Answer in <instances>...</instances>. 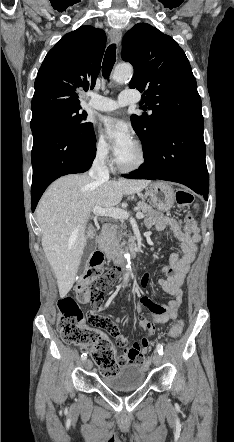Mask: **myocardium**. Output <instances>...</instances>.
<instances>
[{
    "mask_svg": "<svg viewBox=\"0 0 234 442\" xmlns=\"http://www.w3.org/2000/svg\"><path fill=\"white\" fill-rule=\"evenodd\" d=\"M135 147H136L137 155H138V158L135 163H133L131 165H124L118 160V158L115 159V165L120 171L125 172V173L134 172V171L139 170L145 164L146 151H145L144 146L140 142L136 141Z\"/></svg>",
    "mask_w": 234,
    "mask_h": 442,
    "instance_id": "myocardium-1",
    "label": "myocardium"
}]
</instances>
